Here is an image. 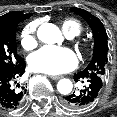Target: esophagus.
I'll use <instances>...</instances> for the list:
<instances>
[{"mask_svg":"<svg viewBox=\"0 0 117 117\" xmlns=\"http://www.w3.org/2000/svg\"><path fill=\"white\" fill-rule=\"evenodd\" d=\"M50 78L53 79V80H58V79L61 78V76H50Z\"/></svg>","mask_w":117,"mask_h":117,"instance_id":"esophagus-1","label":"esophagus"}]
</instances>
